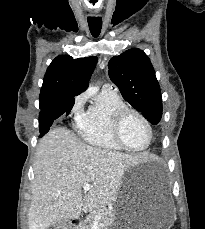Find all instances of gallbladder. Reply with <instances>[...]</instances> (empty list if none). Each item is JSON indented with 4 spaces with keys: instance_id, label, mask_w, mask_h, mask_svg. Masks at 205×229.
Returning a JSON list of instances; mask_svg holds the SVG:
<instances>
[{
    "instance_id": "gallbladder-1",
    "label": "gallbladder",
    "mask_w": 205,
    "mask_h": 229,
    "mask_svg": "<svg viewBox=\"0 0 205 229\" xmlns=\"http://www.w3.org/2000/svg\"><path fill=\"white\" fill-rule=\"evenodd\" d=\"M64 227H68V223L62 220L50 225L47 229H64Z\"/></svg>"
}]
</instances>
